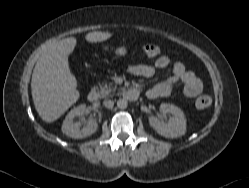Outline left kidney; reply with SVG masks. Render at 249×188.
<instances>
[{
    "label": "left kidney",
    "instance_id": "left-kidney-1",
    "mask_svg": "<svg viewBox=\"0 0 249 188\" xmlns=\"http://www.w3.org/2000/svg\"><path fill=\"white\" fill-rule=\"evenodd\" d=\"M160 111L164 114L170 113L172 117L168 123L161 122L153 117L149 118L150 126L161 136L166 138L181 137L186 132V118L183 111L173 104L162 103Z\"/></svg>",
    "mask_w": 249,
    "mask_h": 188
}]
</instances>
